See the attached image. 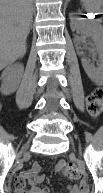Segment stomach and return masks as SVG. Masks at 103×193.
Wrapping results in <instances>:
<instances>
[{"label": "stomach", "instance_id": "stomach-1", "mask_svg": "<svg viewBox=\"0 0 103 193\" xmlns=\"http://www.w3.org/2000/svg\"><path fill=\"white\" fill-rule=\"evenodd\" d=\"M83 6L89 11H99L102 0H81Z\"/></svg>", "mask_w": 103, "mask_h": 193}]
</instances>
